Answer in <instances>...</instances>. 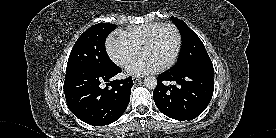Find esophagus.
I'll list each match as a JSON object with an SVG mask.
<instances>
[{
	"mask_svg": "<svg viewBox=\"0 0 276 138\" xmlns=\"http://www.w3.org/2000/svg\"><path fill=\"white\" fill-rule=\"evenodd\" d=\"M139 80H141V77H138V76H133V77H132L133 83H136V82H138Z\"/></svg>",
	"mask_w": 276,
	"mask_h": 138,
	"instance_id": "obj_1",
	"label": "esophagus"
}]
</instances>
